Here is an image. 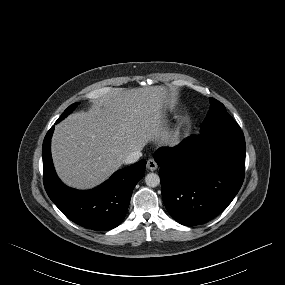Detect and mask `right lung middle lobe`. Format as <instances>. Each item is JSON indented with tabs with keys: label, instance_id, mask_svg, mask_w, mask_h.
<instances>
[{
	"label": "right lung middle lobe",
	"instance_id": "right-lung-middle-lobe-1",
	"mask_svg": "<svg viewBox=\"0 0 285 285\" xmlns=\"http://www.w3.org/2000/svg\"><path fill=\"white\" fill-rule=\"evenodd\" d=\"M79 103H74L72 105H70L65 111L64 113L60 116V118L58 119V122H60L61 120H63L68 114H70L78 105Z\"/></svg>",
	"mask_w": 285,
	"mask_h": 285
}]
</instances>
